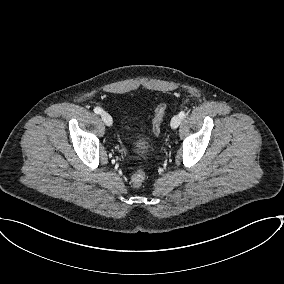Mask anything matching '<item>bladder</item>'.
<instances>
[{
  "mask_svg": "<svg viewBox=\"0 0 284 284\" xmlns=\"http://www.w3.org/2000/svg\"><path fill=\"white\" fill-rule=\"evenodd\" d=\"M131 143L135 152L139 155H145L150 151V142L145 137L137 133H134L131 136Z\"/></svg>",
  "mask_w": 284,
  "mask_h": 284,
  "instance_id": "31cf9c89",
  "label": "bladder"
}]
</instances>
